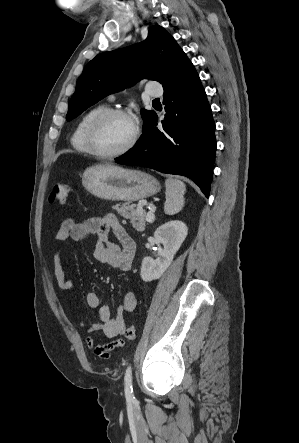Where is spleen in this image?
I'll return each mask as SVG.
<instances>
[{"mask_svg":"<svg viewBox=\"0 0 299 443\" xmlns=\"http://www.w3.org/2000/svg\"><path fill=\"white\" fill-rule=\"evenodd\" d=\"M165 185L166 201L164 204V211L168 215H174L184 206L186 186L182 181L176 179H167Z\"/></svg>","mask_w":299,"mask_h":443,"instance_id":"obj_1","label":"spleen"}]
</instances>
